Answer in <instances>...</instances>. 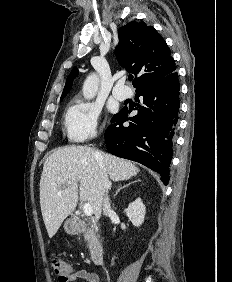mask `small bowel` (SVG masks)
Here are the masks:
<instances>
[{"label": "small bowel", "mask_w": 232, "mask_h": 282, "mask_svg": "<svg viewBox=\"0 0 232 282\" xmlns=\"http://www.w3.org/2000/svg\"><path fill=\"white\" fill-rule=\"evenodd\" d=\"M82 281V282H100L99 276L91 271L86 269L81 270H72L67 276V281Z\"/></svg>", "instance_id": "1"}]
</instances>
